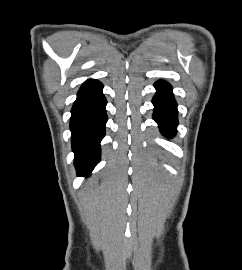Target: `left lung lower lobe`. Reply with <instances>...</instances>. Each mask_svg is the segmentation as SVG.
<instances>
[{"instance_id":"0a47b994","label":"left lung lower lobe","mask_w":242,"mask_h":270,"mask_svg":"<svg viewBox=\"0 0 242 270\" xmlns=\"http://www.w3.org/2000/svg\"><path fill=\"white\" fill-rule=\"evenodd\" d=\"M157 93L153 99L154 120L159 124L162 133L166 136H173L176 133L177 104L173 98L172 87L163 82L155 83Z\"/></svg>"}]
</instances>
